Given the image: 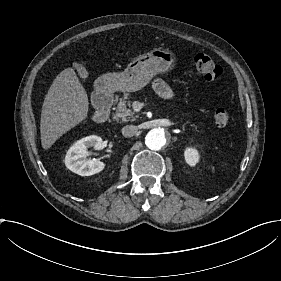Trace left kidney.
Instances as JSON below:
<instances>
[{
  "instance_id": "5707ae66",
  "label": "left kidney",
  "mask_w": 281,
  "mask_h": 281,
  "mask_svg": "<svg viewBox=\"0 0 281 281\" xmlns=\"http://www.w3.org/2000/svg\"><path fill=\"white\" fill-rule=\"evenodd\" d=\"M185 161L190 166H195L200 159V155L195 148L188 147L184 151Z\"/></svg>"
}]
</instances>
